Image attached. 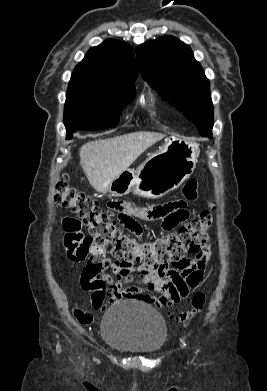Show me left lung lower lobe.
<instances>
[{
    "mask_svg": "<svg viewBox=\"0 0 267 391\" xmlns=\"http://www.w3.org/2000/svg\"><path fill=\"white\" fill-rule=\"evenodd\" d=\"M202 136H211L209 133L205 134V135H202Z\"/></svg>",
    "mask_w": 267,
    "mask_h": 391,
    "instance_id": "0a47b994",
    "label": "left lung lower lobe"
}]
</instances>
